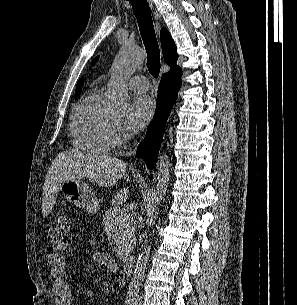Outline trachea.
I'll return each mask as SVG.
<instances>
[{"label":"trachea","instance_id":"trachea-1","mask_svg":"<svg viewBox=\"0 0 297 305\" xmlns=\"http://www.w3.org/2000/svg\"><path fill=\"white\" fill-rule=\"evenodd\" d=\"M137 18L139 30L147 52V67L151 75L158 77L160 72V50L155 35L153 21L147 0H129Z\"/></svg>","mask_w":297,"mask_h":305}]
</instances>
